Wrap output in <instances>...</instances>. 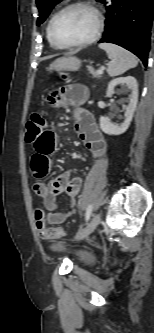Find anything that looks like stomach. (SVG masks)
<instances>
[{"label": "stomach", "instance_id": "0dacf381", "mask_svg": "<svg viewBox=\"0 0 154 333\" xmlns=\"http://www.w3.org/2000/svg\"><path fill=\"white\" fill-rule=\"evenodd\" d=\"M82 61L75 56H68L56 59L50 64V69L56 71H77Z\"/></svg>", "mask_w": 154, "mask_h": 333}]
</instances>
